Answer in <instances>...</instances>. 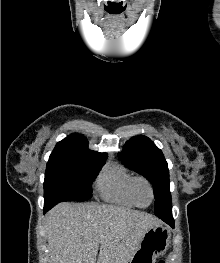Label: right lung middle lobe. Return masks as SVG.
<instances>
[{"mask_svg": "<svg viewBox=\"0 0 220 263\" xmlns=\"http://www.w3.org/2000/svg\"><path fill=\"white\" fill-rule=\"evenodd\" d=\"M107 156L82 152H52L45 172V204L85 201Z\"/></svg>", "mask_w": 220, "mask_h": 263, "instance_id": "dd1d6c3e", "label": "right lung middle lobe"}]
</instances>
